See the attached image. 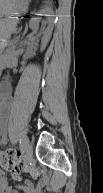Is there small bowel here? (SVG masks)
Listing matches in <instances>:
<instances>
[{"label": "small bowel", "mask_w": 103, "mask_h": 193, "mask_svg": "<svg viewBox=\"0 0 103 193\" xmlns=\"http://www.w3.org/2000/svg\"><path fill=\"white\" fill-rule=\"evenodd\" d=\"M11 97L8 95L4 96L3 99V107H4V113L3 118L1 120L0 124V135H1V145L4 146L8 142V130H7V124H6V117L8 114V108L11 104ZM14 179L16 181H23V184L19 186H15L9 183V178L5 173L0 174V186L3 191V193H19L20 191L23 193H45V187L47 185L46 180H42L38 185L34 184L30 180H23L21 176L15 175Z\"/></svg>", "instance_id": "obj_1"}]
</instances>
